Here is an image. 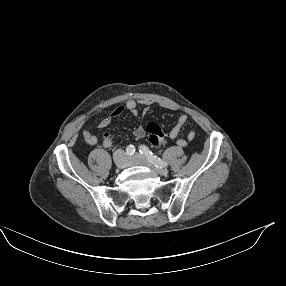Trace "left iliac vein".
Instances as JSON below:
<instances>
[{
    "instance_id": "4c4485c4",
    "label": "left iliac vein",
    "mask_w": 286,
    "mask_h": 286,
    "mask_svg": "<svg viewBox=\"0 0 286 286\" xmlns=\"http://www.w3.org/2000/svg\"><path fill=\"white\" fill-rule=\"evenodd\" d=\"M130 166L135 165H144L155 171L157 174L162 176L168 175V170L162 167H156L154 164H152L150 161H148L144 156H142L139 153H136L134 156L130 158L129 161Z\"/></svg>"
}]
</instances>
